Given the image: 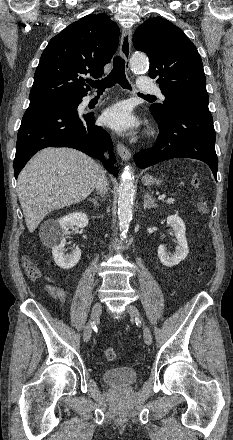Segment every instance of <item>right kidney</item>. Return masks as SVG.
Listing matches in <instances>:
<instances>
[{"label":"right kidney","mask_w":233,"mask_h":440,"mask_svg":"<svg viewBox=\"0 0 233 440\" xmlns=\"http://www.w3.org/2000/svg\"><path fill=\"white\" fill-rule=\"evenodd\" d=\"M88 216L85 213H69L58 221L49 220L42 228L41 240L52 249L55 263L62 269L74 267L81 257V250L76 247L72 253L65 254V235L74 226L84 228L88 226Z\"/></svg>","instance_id":"right-kidney-1"}]
</instances>
